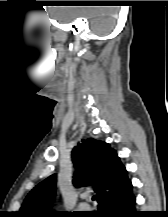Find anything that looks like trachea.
Masks as SVG:
<instances>
[{
	"instance_id": "3493384b",
	"label": "trachea",
	"mask_w": 168,
	"mask_h": 217,
	"mask_svg": "<svg viewBox=\"0 0 168 217\" xmlns=\"http://www.w3.org/2000/svg\"><path fill=\"white\" fill-rule=\"evenodd\" d=\"M95 199H96V196H93V197H92V200L94 201Z\"/></svg>"
}]
</instances>
